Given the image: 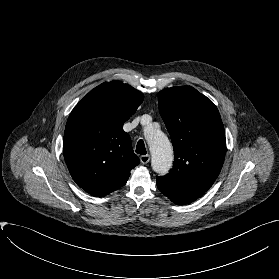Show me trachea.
I'll use <instances>...</instances> for the list:
<instances>
[{"instance_id":"obj_1","label":"trachea","mask_w":279,"mask_h":279,"mask_svg":"<svg viewBox=\"0 0 279 279\" xmlns=\"http://www.w3.org/2000/svg\"><path fill=\"white\" fill-rule=\"evenodd\" d=\"M136 153H137V154H141V155H145V154H146L145 144H144V141H143L142 139H140V140L137 142V145H136Z\"/></svg>"}]
</instances>
